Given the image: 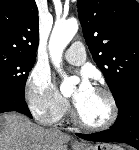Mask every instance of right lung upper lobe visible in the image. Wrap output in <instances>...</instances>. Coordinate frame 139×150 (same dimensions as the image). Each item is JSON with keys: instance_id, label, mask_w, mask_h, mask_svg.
<instances>
[{"instance_id": "cb5924a9", "label": "right lung upper lobe", "mask_w": 139, "mask_h": 150, "mask_svg": "<svg viewBox=\"0 0 139 150\" xmlns=\"http://www.w3.org/2000/svg\"><path fill=\"white\" fill-rule=\"evenodd\" d=\"M38 43L35 0H0V51L36 58Z\"/></svg>"}]
</instances>
